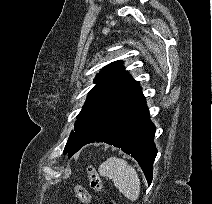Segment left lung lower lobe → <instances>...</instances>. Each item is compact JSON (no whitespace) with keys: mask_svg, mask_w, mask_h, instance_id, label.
I'll return each mask as SVG.
<instances>
[{"mask_svg":"<svg viewBox=\"0 0 212 204\" xmlns=\"http://www.w3.org/2000/svg\"><path fill=\"white\" fill-rule=\"evenodd\" d=\"M154 134L155 126L149 119L145 98L139 88L79 134L68 156H72L88 143L105 142L135 158L150 185L157 154Z\"/></svg>","mask_w":212,"mask_h":204,"instance_id":"left-lung-lower-lobe-1","label":"left lung lower lobe"}]
</instances>
